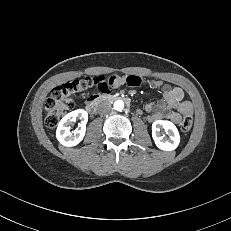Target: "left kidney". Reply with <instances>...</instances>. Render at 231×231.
<instances>
[{
    "label": "left kidney",
    "mask_w": 231,
    "mask_h": 231,
    "mask_svg": "<svg viewBox=\"0 0 231 231\" xmlns=\"http://www.w3.org/2000/svg\"><path fill=\"white\" fill-rule=\"evenodd\" d=\"M163 128L164 131L170 136V140L163 139L160 136V129ZM152 137L156 146L164 151H172L177 148L180 142V135L176 126L167 120H157L152 124Z\"/></svg>",
    "instance_id": "5707ae66"
}]
</instances>
